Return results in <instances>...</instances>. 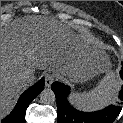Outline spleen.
I'll use <instances>...</instances> for the list:
<instances>
[{
    "label": "spleen",
    "mask_w": 123,
    "mask_h": 123,
    "mask_svg": "<svg viewBox=\"0 0 123 123\" xmlns=\"http://www.w3.org/2000/svg\"><path fill=\"white\" fill-rule=\"evenodd\" d=\"M120 87V80L109 71L99 84L89 92H77L70 96L71 103L78 109L94 111L111 104Z\"/></svg>",
    "instance_id": "spleen-1"
}]
</instances>
